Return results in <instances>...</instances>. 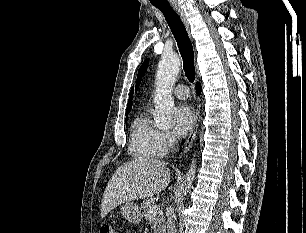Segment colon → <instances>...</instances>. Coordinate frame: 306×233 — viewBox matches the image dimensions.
<instances>
[{
	"label": "colon",
	"mask_w": 306,
	"mask_h": 233,
	"mask_svg": "<svg viewBox=\"0 0 306 233\" xmlns=\"http://www.w3.org/2000/svg\"><path fill=\"white\" fill-rule=\"evenodd\" d=\"M100 233H116V230L111 223H104L100 228Z\"/></svg>",
	"instance_id": "obj_1"
}]
</instances>
